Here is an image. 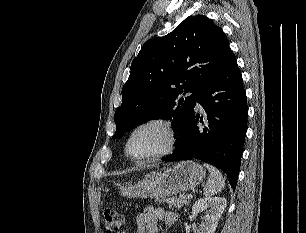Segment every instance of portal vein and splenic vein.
Listing matches in <instances>:
<instances>
[{
	"label": "portal vein and splenic vein",
	"mask_w": 306,
	"mask_h": 233,
	"mask_svg": "<svg viewBox=\"0 0 306 233\" xmlns=\"http://www.w3.org/2000/svg\"><path fill=\"white\" fill-rule=\"evenodd\" d=\"M192 197H193L192 194H188V195H187V198H188V199H192Z\"/></svg>",
	"instance_id": "portal-vein-and-splenic-vein-1"
}]
</instances>
